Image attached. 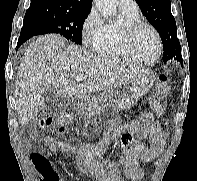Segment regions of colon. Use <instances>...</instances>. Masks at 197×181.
<instances>
[{"label": "colon", "instance_id": "colon-1", "mask_svg": "<svg viewBox=\"0 0 197 181\" xmlns=\"http://www.w3.org/2000/svg\"><path fill=\"white\" fill-rule=\"evenodd\" d=\"M169 92H170L169 77L167 75L159 76L155 85L154 95L151 101V107L155 115L161 116L164 114L166 109L165 100ZM152 120H153L152 114H144L140 118V124L142 126V129L149 126L152 123ZM69 121H70V116L68 114H60L58 116L50 118L49 121H47V126L54 127L58 131H61L66 128Z\"/></svg>", "mask_w": 197, "mask_h": 181}]
</instances>
